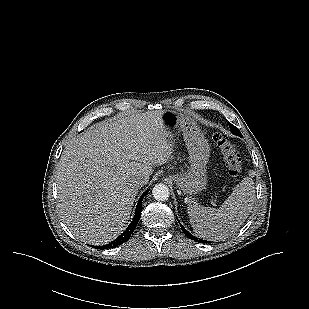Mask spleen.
I'll return each instance as SVG.
<instances>
[{
	"mask_svg": "<svg viewBox=\"0 0 309 309\" xmlns=\"http://www.w3.org/2000/svg\"><path fill=\"white\" fill-rule=\"evenodd\" d=\"M255 201L252 178H244L218 208L188 204L190 224L197 236L210 241L226 239L248 218Z\"/></svg>",
	"mask_w": 309,
	"mask_h": 309,
	"instance_id": "obj_1",
	"label": "spleen"
}]
</instances>
